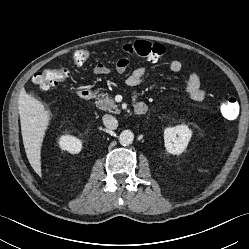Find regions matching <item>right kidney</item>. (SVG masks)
<instances>
[{
  "label": "right kidney",
  "instance_id": "right-kidney-1",
  "mask_svg": "<svg viewBox=\"0 0 249 249\" xmlns=\"http://www.w3.org/2000/svg\"><path fill=\"white\" fill-rule=\"evenodd\" d=\"M59 146L64 151L77 154L82 149V141L70 135H63L59 139Z\"/></svg>",
  "mask_w": 249,
  "mask_h": 249
}]
</instances>
